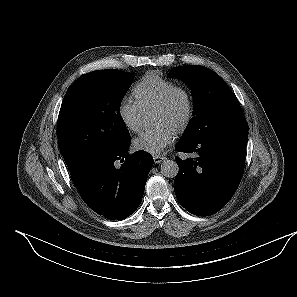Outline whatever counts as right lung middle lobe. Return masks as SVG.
I'll return each mask as SVG.
<instances>
[{
	"instance_id": "obj_1",
	"label": "right lung middle lobe",
	"mask_w": 297,
	"mask_h": 297,
	"mask_svg": "<svg viewBox=\"0 0 297 297\" xmlns=\"http://www.w3.org/2000/svg\"><path fill=\"white\" fill-rule=\"evenodd\" d=\"M133 76L98 70L80 76L68 89L58 116V142L68 168L91 153L115 150L130 141L120 104Z\"/></svg>"
}]
</instances>
